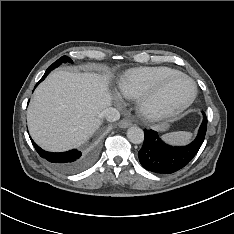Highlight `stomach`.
Listing matches in <instances>:
<instances>
[{
  "mask_svg": "<svg viewBox=\"0 0 234 234\" xmlns=\"http://www.w3.org/2000/svg\"><path fill=\"white\" fill-rule=\"evenodd\" d=\"M169 127H170V124L167 123V122H165V123H162V124H160L159 126H157V129L162 130V131H165V130H167Z\"/></svg>",
  "mask_w": 234,
  "mask_h": 234,
  "instance_id": "obj_1",
  "label": "stomach"
}]
</instances>
